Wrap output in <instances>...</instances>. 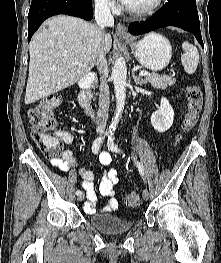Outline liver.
Here are the masks:
<instances>
[{
    "instance_id": "obj_1",
    "label": "liver",
    "mask_w": 221,
    "mask_h": 263,
    "mask_svg": "<svg viewBox=\"0 0 221 263\" xmlns=\"http://www.w3.org/2000/svg\"><path fill=\"white\" fill-rule=\"evenodd\" d=\"M111 47V35H102L96 24L66 15L48 19L29 44L25 104L74 85L96 65L98 56L109 53ZM72 61L83 65H73Z\"/></svg>"
}]
</instances>
